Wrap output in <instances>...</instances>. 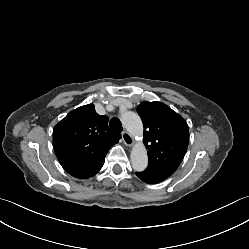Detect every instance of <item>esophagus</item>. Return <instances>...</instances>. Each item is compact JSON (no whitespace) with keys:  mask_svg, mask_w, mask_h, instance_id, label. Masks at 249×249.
<instances>
[{"mask_svg":"<svg viewBox=\"0 0 249 249\" xmlns=\"http://www.w3.org/2000/svg\"><path fill=\"white\" fill-rule=\"evenodd\" d=\"M122 140L128 147H131L134 144V138L126 131L122 132Z\"/></svg>","mask_w":249,"mask_h":249,"instance_id":"obj_1","label":"esophagus"}]
</instances>
